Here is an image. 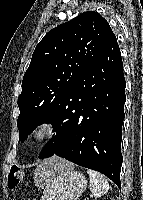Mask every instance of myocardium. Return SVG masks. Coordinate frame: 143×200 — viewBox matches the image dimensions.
Instances as JSON below:
<instances>
[{"label": "myocardium", "mask_w": 143, "mask_h": 200, "mask_svg": "<svg viewBox=\"0 0 143 200\" xmlns=\"http://www.w3.org/2000/svg\"><path fill=\"white\" fill-rule=\"evenodd\" d=\"M57 126L51 120H43L37 123L31 133L30 140L37 145L49 141L56 133Z\"/></svg>", "instance_id": "f54148a6"}]
</instances>
